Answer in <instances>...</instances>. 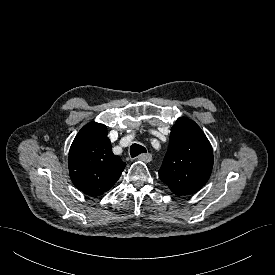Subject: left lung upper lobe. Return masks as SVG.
Here are the masks:
<instances>
[{
    "label": "left lung upper lobe",
    "mask_w": 275,
    "mask_h": 275,
    "mask_svg": "<svg viewBox=\"0 0 275 275\" xmlns=\"http://www.w3.org/2000/svg\"><path fill=\"white\" fill-rule=\"evenodd\" d=\"M212 167V147L201 128L188 118H178L171 128L160 179L176 195L192 194L207 182Z\"/></svg>",
    "instance_id": "left-lung-upper-lobe-1"
}]
</instances>
